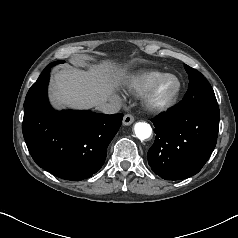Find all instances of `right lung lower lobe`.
Segmentation results:
<instances>
[{
	"label": "right lung lower lobe",
	"mask_w": 238,
	"mask_h": 238,
	"mask_svg": "<svg viewBox=\"0 0 238 238\" xmlns=\"http://www.w3.org/2000/svg\"><path fill=\"white\" fill-rule=\"evenodd\" d=\"M49 64L29 89L22 131L38 166L72 181L91 177L104 164L107 147L121 126L122 114L55 111L48 102Z\"/></svg>",
	"instance_id": "obj_1"
}]
</instances>
